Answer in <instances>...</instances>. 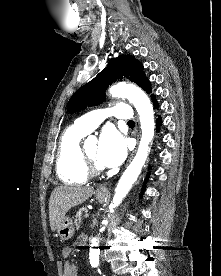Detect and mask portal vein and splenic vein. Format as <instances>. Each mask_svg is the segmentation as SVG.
Here are the masks:
<instances>
[{"label":"portal vein and splenic vein","mask_w":221,"mask_h":276,"mask_svg":"<svg viewBox=\"0 0 221 276\" xmlns=\"http://www.w3.org/2000/svg\"><path fill=\"white\" fill-rule=\"evenodd\" d=\"M85 217L86 218L89 217V213L88 212L85 213Z\"/></svg>","instance_id":"1"}]
</instances>
